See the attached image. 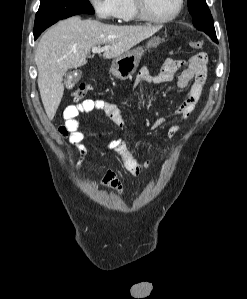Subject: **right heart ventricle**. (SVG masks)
I'll return each mask as SVG.
<instances>
[{
	"mask_svg": "<svg viewBox=\"0 0 247 299\" xmlns=\"http://www.w3.org/2000/svg\"><path fill=\"white\" fill-rule=\"evenodd\" d=\"M116 18L121 22L137 21V16L133 0L116 1Z\"/></svg>",
	"mask_w": 247,
	"mask_h": 299,
	"instance_id": "1",
	"label": "right heart ventricle"
}]
</instances>
